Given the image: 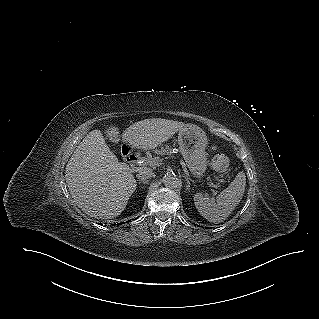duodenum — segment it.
Wrapping results in <instances>:
<instances>
[{
  "label": "duodenum",
  "mask_w": 319,
  "mask_h": 319,
  "mask_svg": "<svg viewBox=\"0 0 319 319\" xmlns=\"http://www.w3.org/2000/svg\"><path fill=\"white\" fill-rule=\"evenodd\" d=\"M123 160L127 164H136L138 162L137 156L134 152L126 145L123 146Z\"/></svg>",
  "instance_id": "obj_1"
}]
</instances>
